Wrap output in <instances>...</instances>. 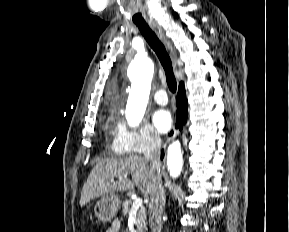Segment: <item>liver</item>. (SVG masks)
Masks as SVG:
<instances>
[{
  "label": "liver",
  "mask_w": 289,
  "mask_h": 232,
  "mask_svg": "<svg viewBox=\"0 0 289 232\" xmlns=\"http://www.w3.org/2000/svg\"><path fill=\"white\" fill-rule=\"evenodd\" d=\"M161 174V167H153L139 155L101 160L92 169L83 186L80 205H86L98 197L114 195L117 191H131L135 187L144 195H150ZM128 175L132 176V180L127 178ZM119 176H122V179L111 182V179Z\"/></svg>",
  "instance_id": "6515ba94"
}]
</instances>
